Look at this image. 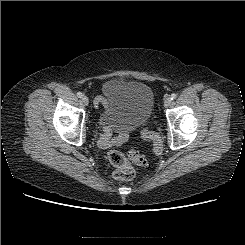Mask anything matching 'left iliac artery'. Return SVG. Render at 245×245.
Masks as SVG:
<instances>
[{
	"label": "left iliac artery",
	"mask_w": 245,
	"mask_h": 245,
	"mask_svg": "<svg viewBox=\"0 0 245 245\" xmlns=\"http://www.w3.org/2000/svg\"><path fill=\"white\" fill-rule=\"evenodd\" d=\"M170 98H171V100L176 99L177 98V94H175V93L171 94Z\"/></svg>",
	"instance_id": "1"
}]
</instances>
